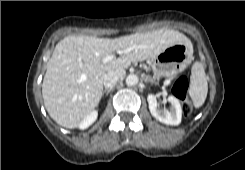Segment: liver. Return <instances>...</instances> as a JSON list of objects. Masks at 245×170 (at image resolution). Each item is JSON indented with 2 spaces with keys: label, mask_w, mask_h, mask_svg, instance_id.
I'll list each match as a JSON object with an SVG mask.
<instances>
[{
  "label": "liver",
  "mask_w": 245,
  "mask_h": 170,
  "mask_svg": "<svg viewBox=\"0 0 245 170\" xmlns=\"http://www.w3.org/2000/svg\"><path fill=\"white\" fill-rule=\"evenodd\" d=\"M176 44L192 50L191 41L176 30L157 29L115 39L67 36L57 43L47 63L42 96L50 117L73 129L98 106L107 73L125 71L134 61L153 58ZM132 48L119 58L104 63L115 52Z\"/></svg>",
  "instance_id": "obj_1"
}]
</instances>
